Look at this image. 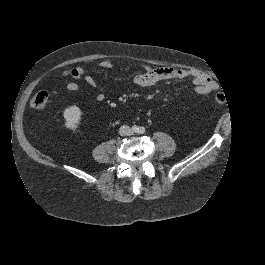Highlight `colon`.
<instances>
[{"label": "colon", "mask_w": 265, "mask_h": 265, "mask_svg": "<svg viewBox=\"0 0 265 265\" xmlns=\"http://www.w3.org/2000/svg\"><path fill=\"white\" fill-rule=\"evenodd\" d=\"M65 74L70 75V72L67 71ZM48 100V92L39 91L31 98L30 104L34 109L41 110L47 105ZM215 100L217 103L222 104L226 101V95L223 92H219L215 95Z\"/></svg>", "instance_id": "5ec220e1"}]
</instances>
